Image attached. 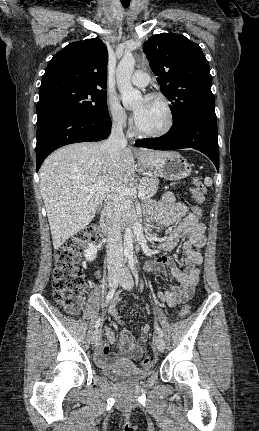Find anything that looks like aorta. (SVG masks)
<instances>
[{"mask_svg":"<svg viewBox=\"0 0 259 431\" xmlns=\"http://www.w3.org/2000/svg\"><path fill=\"white\" fill-rule=\"evenodd\" d=\"M135 59L132 54H125L118 64L116 70V80L118 90L121 94L122 103L126 108H133L139 104L142 99L141 92L134 89L131 84V76L134 71ZM124 254L130 256L133 254V233L129 226L124 233Z\"/></svg>","mask_w":259,"mask_h":431,"instance_id":"762f6f07","label":"aorta"}]
</instances>
